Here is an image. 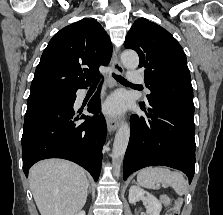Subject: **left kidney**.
Here are the masks:
<instances>
[{
	"mask_svg": "<svg viewBox=\"0 0 223 215\" xmlns=\"http://www.w3.org/2000/svg\"><path fill=\"white\" fill-rule=\"evenodd\" d=\"M139 199H144L147 201V215H159L162 209V203L152 195V193H148L145 189H141L139 185H131L129 189V201L130 203H135V201H139Z\"/></svg>",
	"mask_w": 223,
	"mask_h": 215,
	"instance_id": "5707ae66",
	"label": "left kidney"
}]
</instances>
